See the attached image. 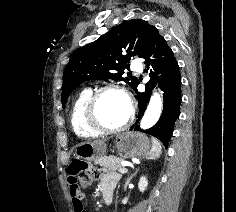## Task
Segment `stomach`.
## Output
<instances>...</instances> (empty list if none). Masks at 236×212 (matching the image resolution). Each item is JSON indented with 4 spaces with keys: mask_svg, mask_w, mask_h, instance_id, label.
<instances>
[{
    "mask_svg": "<svg viewBox=\"0 0 236 212\" xmlns=\"http://www.w3.org/2000/svg\"><path fill=\"white\" fill-rule=\"evenodd\" d=\"M115 147L120 156L142 157L151 149L150 140L144 134L126 132L115 137ZM106 154V145L80 143L75 147L74 155L86 161H98Z\"/></svg>",
    "mask_w": 236,
    "mask_h": 212,
    "instance_id": "obj_1",
    "label": "stomach"
}]
</instances>
